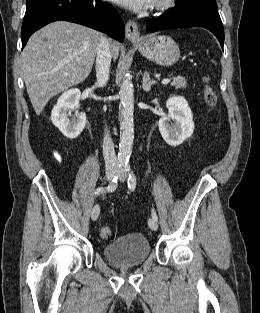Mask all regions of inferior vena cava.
Returning a JSON list of instances; mask_svg holds the SVG:
<instances>
[{
  "label": "inferior vena cava",
  "mask_w": 260,
  "mask_h": 313,
  "mask_svg": "<svg viewBox=\"0 0 260 313\" xmlns=\"http://www.w3.org/2000/svg\"><path fill=\"white\" fill-rule=\"evenodd\" d=\"M112 59V52L109 41L106 37H102L97 47L96 57V77L98 86L106 85L109 78L110 63ZM103 155L106 167L118 166V159L114 150V143L109 134H105L103 139Z\"/></svg>",
  "instance_id": "inferior-vena-cava-1"
}]
</instances>
